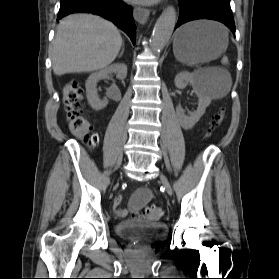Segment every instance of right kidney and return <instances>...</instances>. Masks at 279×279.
<instances>
[{
  "instance_id": "right-kidney-1",
  "label": "right kidney",
  "mask_w": 279,
  "mask_h": 279,
  "mask_svg": "<svg viewBox=\"0 0 279 279\" xmlns=\"http://www.w3.org/2000/svg\"><path fill=\"white\" fill-rule=\"evenodd\" d=\"M111 73H115L117 78L123 80L127 76V66L123 63L112 64L98 72L91 74L86 81V96L89 105L96 111L105 108L108 104V100H100L97 92V83L100 80L107 78Z\"/></svg>"
}]
</instances>
